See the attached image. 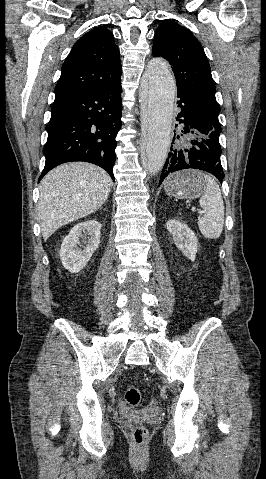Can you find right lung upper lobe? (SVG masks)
I'll return each mask as SVG.
<instances>
[{"label":"right lung upper lobe","instance_id":"right-lung-upper-lobe-1","mask_svg":"<svg viewBox=\"0 0 266 479\" xmlns=\"http://www.w3.org/2000/svg\"><path fill=\"white\" fill-rule=\"evenodd\" d=\"M121 80L119 49L111 31L97 27L72 47L63 66L55 95L88 90Z\"/></svg>","mask_w":266,"mask_h":479}]
</instances>
